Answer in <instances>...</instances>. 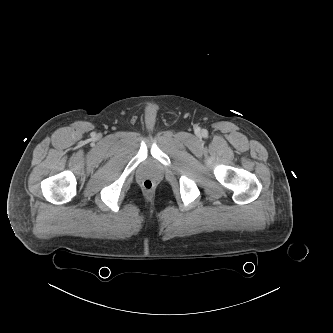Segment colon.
<instances>
[{
	"label": "colon",
	"instance_id": "5ec220e1",
	"mask_svg": "<svg viewBox=\"0 0 333 333\" xmlns=\"http://www.w3.org/2000/svg\"><path fill=\"white\" fill-rule=\"evenodd\" d=\"M142 187L146 190V191H151L154 188V183L152 180L150 179H145L142 182Z\"/></svg>",
	"mask_w": 333,
	"mask_h": 333
}]
</instances>
